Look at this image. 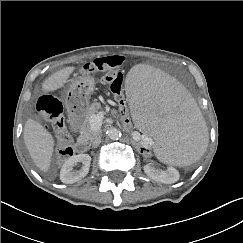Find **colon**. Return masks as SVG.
Segmentation results:
<instances>
[{
    "label": "colon",
    "instance_id": "1",
    "mask_svg": "<svg viewBox=\"0 0 243 243\" xmlns=\"http://www.w3.org/2000/svg\"><path fill=\"white\" fill-rule=\"evenodd\" d=\"M124 63L125 58L121 55L106 56L86 63L81 71L85 75L102 74L101 81L110 86L112 93L117 99V114L123 126L121 135L124 138H129L132 135L131 128L134 126V121L131 119L130 112L127 109V101L123 98V74L121 68ZM37 109L42 118L50 123L57 134L59 159L64 160L71 157L74 154V145L70 134L66 130L61 101L53 95H43L37 101ZM135 151L138 154L146 153V157L149 160H154L157 157V152L154 149L147 150L143 142H138L135 145Z\"/></svg>",
    "mask_w": 243,
    "mask_h": 243
}]
</instances>
